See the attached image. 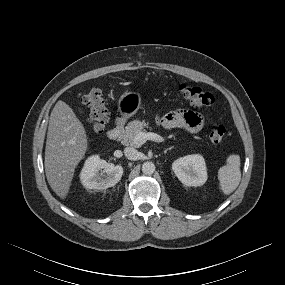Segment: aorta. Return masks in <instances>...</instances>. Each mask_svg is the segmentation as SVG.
I'll return each mask as SVG.
<instances>
[{
    "label": "aorta",
    "instance_id": "1",
    "mask_svg": "<svg viewBox=\"0 0 285 285\" xmlns=\"http://www.w3.org/2000/svg\"><path fill=\"white\" fill-rule=\"evenodd\" d=\"M155 171V164L153 162H144L142 164V172L146 175H151Z\"/></svg>",
    "mask_w": 285,
    "mask_h": 285
}]
</instances>
